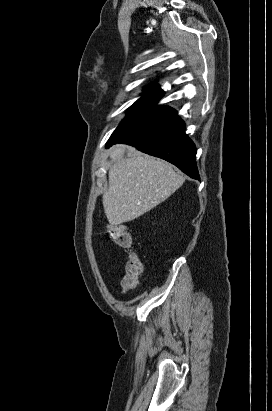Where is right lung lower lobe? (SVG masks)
Returning a JSON list of instances; mask_svg holds the SVG:
<instances>
[{
    "label": "right lung lower lobe",
    "instance_id": "1",
    "mask_svg": "<svg viewBox=\"0 0 272 411\" xmlns=\"http://www.w3.org/2000/svg\"><path fill=\"white\" fill-rule=\"evenodd\" d=\"M184 130L185 123L175 112L163 120L124 138H110L107 146L116 143L132 145L144 153L174 164L191 178L199 180L196 148Z\"/></svg>",
    "mask_w": 272,
    "mask_h": 411
}]
</instances>
